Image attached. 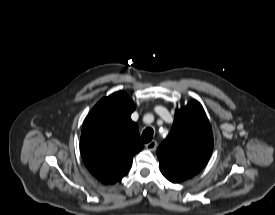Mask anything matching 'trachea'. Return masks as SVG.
Listing matches in <instances>:
<instances>
[{
	"instance_id": "1",
	"label": "trachea",
	"mask_w": 275,
	"mask_h": 215,
	"mask_svg": "<svg viewBox=\"0 0 275 215\" xmlns=\"http://www.w3.org/2000/svg\"><path fill=\"white\" fill-rule=\"evenodd\" d=\"M153 138V129L152 128H146L142 133V141L145 143H148Z\"/></svg>"
}]
</instances>
